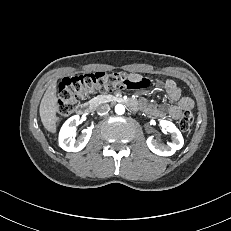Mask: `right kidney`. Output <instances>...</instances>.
Here are the masks:
<instances>
[{
  "label": "right kidney",
  "mask_w": 231,
  "mask_h": 231,
  "mask_svg": "<svg viewBox=\"0 0 231 231\" xmlns=\"http://www.w3.org/2000/svg\"><path fill=\"white\" fill-rule=\"evenodd\" d=\"M79 123L80 117L74 115L63 124L59 133V145L63 150L68 152H78L88 143L92 134V128L90 127L84 129L82 135L77 140L74 138L76 126L79 125Z\"/></svg>",
  "instance_id": "obj_1"
}]
</instances>
